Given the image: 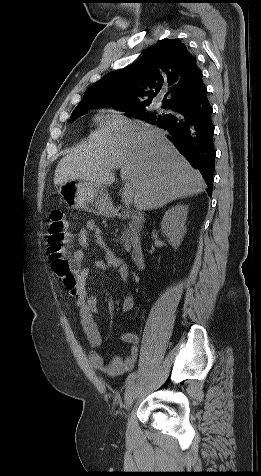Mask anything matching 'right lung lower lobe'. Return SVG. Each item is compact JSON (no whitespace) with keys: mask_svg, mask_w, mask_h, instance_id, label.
I'll return each mask as SVG.
<instances>
[{"mask_svg":"<svg viewBox=\"0 0 261 476\" xmlns=\"http://www.w3.org/2000/svg\"><path fill=\"white\" fill-rule=\"evenodd\" d=\"M172 111L152 124L171 134V142L212 186L216 152L212 107L205 85L189 100L173 106Z\"/></svg>","mask_w":261,"mask_h":476,"instance_id":"98d812e1","label":"right lung lower lobe"}]
</instances>
